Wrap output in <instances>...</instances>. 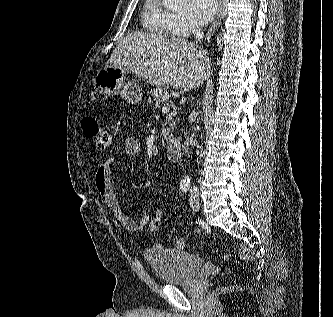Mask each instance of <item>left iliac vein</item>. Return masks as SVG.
Segmentation results:
<instances>
[{
  "mask_svg": "<svg viewBox=\"0 0 333 317\" xmlns=\"http://www.w3.org/2000/svg\"><path fill=\"white\" fill-rule=\"evenodd\" d=\"M190 207L193 211H197L199 209V198L196 192H192L190 195Z\"/></svg>",
  "mask_w": 333,
  "mask_h": 317,
  "instance_id": "obj_1",
  "label": "left iliac vein"
}]
</instances>
